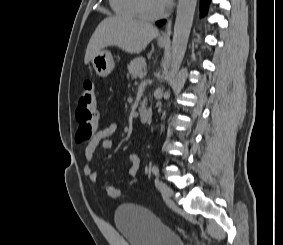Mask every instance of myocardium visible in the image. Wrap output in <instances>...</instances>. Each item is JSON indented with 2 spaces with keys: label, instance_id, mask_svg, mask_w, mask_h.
I'll return each mask as SVG.
<instances>
[{
  "label": "myocardium",
  "instance_id": "f54148a6",
  "mask_svg": "<svg viewBox=\"0 0 283 245\" xmlns=\"http://www.w3.org/2000/svg\"><path fill=\"white\" fill-rule=\"evenodd\" d=\"M135 1H136L137 11L140 17H142L143 19L156 20V19L163 17L166 14V11H167L166 7H164L161 11L157 13H150L144 8L143 0H135Z\"/></svg>",
  "mask_w": 283,
  "mask_h": 245
}]
</instances>
